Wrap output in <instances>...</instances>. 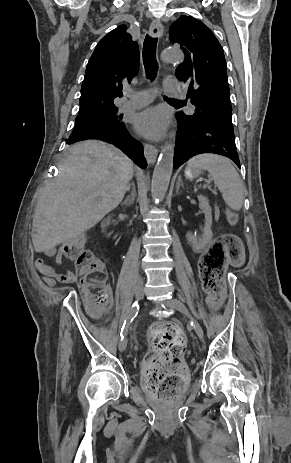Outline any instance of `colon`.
<instances>
[{"label":"colon","mask_w":291,"mask_h":463,"mask_svg":"<svg viewBox=\"0 0 291 463\" xmlns=\"http://www.w3.org/2000/svg\"><path fill=\"white\" fill-rule=\"evenodd\" d=\"M63 255L72 260L77 269L87 313L99 317L111 304V292L105 288V271L101 261L86 248L83 237H77L62 246ZM228 258L240 259V241L227 233L211 243L200 260V273L204 288L210 295V304L217 307L223 294V275ZM152 352L146 359L143 372L146 389L162 398L179 394L183 384L185 366L182 355L186 337L174 323L153 327L149 335Z\"/></svg>","instance_id":"obj_1"}]
</instances>
